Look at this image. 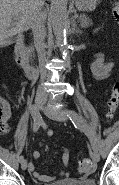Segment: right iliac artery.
<instances>
[{
  "label": "right iliac artery",
  "instance_id": "1",
  "mask_svg": "<svg viewBox=\"0 0 119 185\" xmlns=\"http://www.w3.org/2000/svg\"><path fill=\"white\" fill-rule=\"evenodd\" d=\"M35 107L32 106L31 107V115H30V118H33V121H34V126H33V132H37V130L39 129L40 127V124H41V121H40V113H35ZM24 159V157L21 155L19 157V161L21 162L22 160Z\"/></svg>",
  "mask_w": 119,
  "mask_h": 185
}]
</instances>
